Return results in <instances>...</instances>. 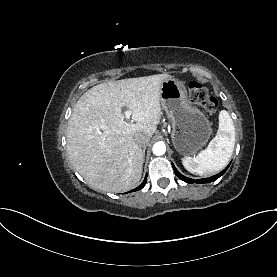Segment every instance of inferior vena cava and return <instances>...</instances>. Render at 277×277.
<instances>
[{
    "label": "inferior vena cava",
    "mask_w": 277,
    "mask_h": 277,
    "mask_svg": "<svg viewBox=\"0 0 277 277\" xmlns=\"http://www.w3.org/2000/svg\"><path fill=\"white\" fill-rule=\"evenodd\" d=\"M149 140V137L142 133H137L135 135V141L142 147H145L149 143Z\"/></svg>",
    "instance_id": "inferior-vena-cava-1"
}]
</instances>
